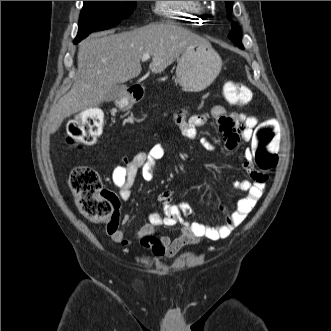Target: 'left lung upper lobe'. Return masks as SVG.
Wrapping results in <instances>:
<instances>
[{
    "instance_id": "5c2ea615",
    "label": "left lung upper lobe",
    "mask_w": 331,
    "mask_h": 331,
    "mask_svg": "<svg viewBox=\"0 0 331 331\" xmlns=\"http://www.w3.org/2000/svg\"><path fill=\"white\" fill-rule=\"evenodd\" d=\"M225 3L228 12V18L231 19L233 1H225ZM228 37L240 48L242 49L244 48L241 42L242 39L241 29L237 23H232V30L229 33Z\"/></svg>"
}]
</instances>
